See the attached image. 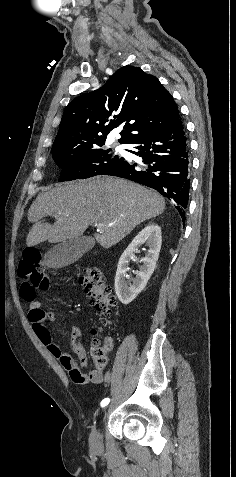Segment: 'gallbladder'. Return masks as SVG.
<instances>
[{
    "mask_svg": "<svg viewBox=\"0 0 236 477\" xmlns=\"http://www.w3.org/2000/svg\"><path fill=\"white\" fill-rule=\"evenodd\" d=\"M95 241L89 236L68 239L53 246L44 256L52 268H62L76 262L84 253L90 251Z\"/></svg>",
    "mask_w": 236,
    "mask_h": 477,
    "instance_id": "bac80fb5",
    "label": "gallbladder"
}]
</instances>
